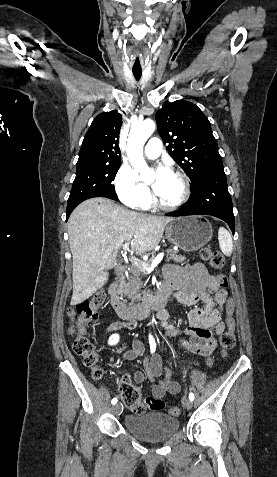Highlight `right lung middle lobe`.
Wrapping results in <instances>:
<instances>
[{
	"mask_svg": "<svg viewBox=\"0 0 277 477\" xmlns=\"http://www.w3.org/2000/svg\"><path fill=\"white\" fill-rule=\"evenodd\" d=\"M120 164L92 165L77 168L76 177L67 204L66 215L82 201L93 197L118 200L112 181Z\"/></svg>",
	"mask_w": 277,
	"mask_h": 477,
	"instance_id": "1",
	"label": "right lung middle lobe"
}]
</instances>
